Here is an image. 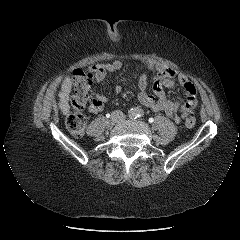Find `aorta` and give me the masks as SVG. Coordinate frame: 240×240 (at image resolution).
Wrapping results in <instances>:
<instances>
[{"label": "aorta", "mask_w": 240, "mask_h": 240, "mask_svg": "<svg viewBox=\"0 0 240 240\" xmlns=\"http://www.w3.org/2000/svg\"><path fill=\"white\" fill-rule=\"evenodd\" d=\"M128 115H129V117H135L138 115V111L136 109L132 108L128 111Z\"/></svg>", "instance_id": "obj_1"}]
</instances>
